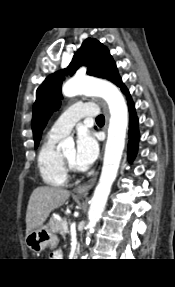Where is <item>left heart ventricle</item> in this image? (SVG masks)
Returning <instances> with one entry per match:
<instances>
[{"mask_svg":"<svg viewBox=\"0 0 175 287\" xmlns=\"http://www.w3.org/2000/svg\"><path fill=\"white\" fill-rule=\"evenodd\" d=\"M63 154L66 156V158L68 160H70L71 162L76 164V161H75L76 151L74 148H71V149L65 151Z\"/></svg>","mask_w":175,"mask_h":287,"instance_id":"left-heart-ventricle-1","label":"left heart ventricle"}]
</instances>
